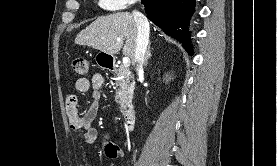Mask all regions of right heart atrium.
<instances>
[{
    "mask_svg": "<svg viewBox=\"0 0 277 166\" xmlns=\"http://www.w3.org/2000/svg\"><path fill=\"white\" fill-rule=\"evenodd\" d=\"M138 0H98L101 9L107 11H119L134 5Z\"/></svg>",
    "mask_w": 277,
    "mask_h": 166,
    "instance_id": "d8ad5b80",
    "label": "right heart atrium"
}]
</instances>
